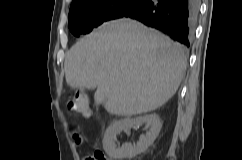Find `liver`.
Listing matches in <instances>:
<instances>
[{"mask_svg": "<svg viewBox=\"0 0 242 160\" xmlns=\"http://www.w3.org/2000/svg\"><path fill=\"white\" fill-rule=\"evenodd\" d=\"M185 48L132 19L102 24L67 53L64 69L72 89H96L94 100L113 115L156 110L178 90Z\"/></svg>", "mask_w": 242, "mask_h": 160, "instance_id": "obj_1", "label": "liver"}]
</instances>
